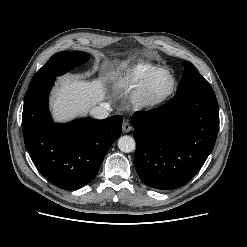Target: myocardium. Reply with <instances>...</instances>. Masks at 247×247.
I'll use <instances>...</instances> for the list:
<instances>
[{"mask_svg": "<svg viewBox=\"0 0 247 247\" xmlns=\"http://www.w3.org/2000/svg\"><path fill=\"white\" fill-rule=\"evenodd\" d=\"M165 72L167 73L172 81L170 90L161 98L159 99H149L144 94V89L146 86V83L148 79L157 72ZM177 87V81L172 73V71L166 67H154L147 71L142 78L139 80L137 85L134 87L132 93H131V102L133 106L137 109H143V110H151L158 108L162 105H164L167 101L171 99L173 94L175 93Z\"/></svg>", "mask_w": 247, "mask_h": 247, "instance_id": "f54148a6", "label": "myocardium"}]
</instances>
